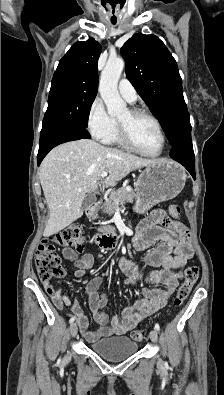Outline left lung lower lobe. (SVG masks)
Segmentation results:
<instances>
[{
    "mask_svg": "<svg viewBox=\"0 0 224 395\" xmlns=\"http://www.w3.org/2000/svg\"><path fill=\"white\" fill-rule=\"evenodd\" d=\"M170 157L181 163L195 179V158L191 141V125L183 129L172 144Z\"/></svg>",
    "mask_w": 224,
    "mask_h": 395,
    "instance_id": "0a47b994",
    "label": "left lung lower lobe"
}]
</instances>
